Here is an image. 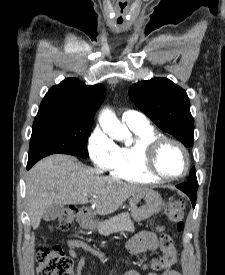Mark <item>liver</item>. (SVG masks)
Masks as SVG:
<instances>
[{
  "mask_svg": "<svg viewBox=\"0 0 225 275\" xmlns=\"http://www.w3.org/2000/svg\"><path fill=\"white\" fill-rule=\"evenodd\" d=\"M146 190L149 189L111 176H100L75 157L63 154L51 155L37 162L26 179V201L34 230L52 203L90 202L97 214L107 215L117 211L132 195Z\"/></svg>",
  "mask_w": 225,
  "mask_h": 275,
  "instance_id": "obj_1",
  "label": "liver"
}]
</instances>
